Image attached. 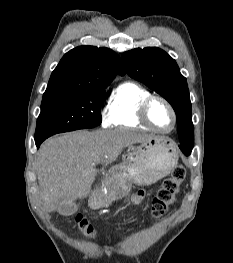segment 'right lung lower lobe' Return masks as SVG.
<instances>
[{"instance_id":"98d812e1","label":"right lung lower lobe","mask_w":233,"mask_h":263,"mask_svg":"<svg viewBox=\"0 0 233 263\" xmlns=\"http://www.w3.org/2000/svg\"><path fill=\"white\" fill-rule=\"evenodd\" d=\"M43 141H44V140H37V141H35L37 148H39V146L41 145V143H42Z\"/></svg>"}]
</instances>
